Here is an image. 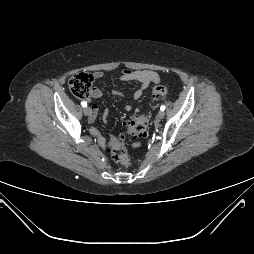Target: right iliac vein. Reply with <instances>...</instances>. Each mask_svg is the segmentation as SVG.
Listing matches in <instances>:
<instances>
[{
	"instance_id": "1",
	"label": "right iliac vein",
	"mask_w": 254,
	"mask_h": 254,
	"mask_svg": "<svg viewBox=\"0 0 254 254\" xmlns=\"http://www.w3.org/2000/svg\"><path fill=\"white\" fill-rule=\"evenodd\" d=\"M83 112H84V114H85L86 116H89V115L91 114V109H90L89 107H85V108L83 109Z\"/></svg>"
}]
</instances>
